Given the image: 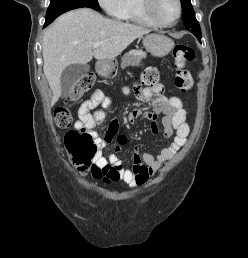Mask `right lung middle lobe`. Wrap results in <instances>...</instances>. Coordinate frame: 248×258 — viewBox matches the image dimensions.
<instances>
[{
	"label": "right lung middle lobe",
	"mask_w": 248,
	"mask_h": 258,
	"mask_svg": "<svg viewBox=\"0 0 248 258\" xmlns=\"http://www.w3.org/2000/svg\"><path fill=\"white\" fill-rule=\"evenodd\" d=\"M81 7H89L97 11L100 10L97 0H50L46 21L55 19L69 10Z\"/></svg>",
	"instance_id": "obj_1"
}]
</instances>
